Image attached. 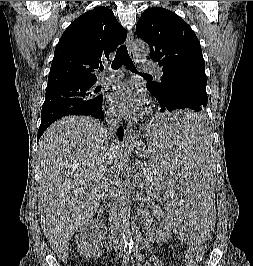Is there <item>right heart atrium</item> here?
I'll use <instances>...</instances> for the list:
<instances>
[{"mask_svg":"<svg viewBox=\"0 0 253 266\" xmlns=\"http://www.w3.org/2000/svg\"><path fill=\"white\" fill-rule=\"evenodd\" d=\"M108 115L112 116V117H116L117 116L116 112L112 108L108 109Z\"/></svg>","mask_w":253,"mask_h":266,"instance_id":"1","label":"right heart atrium"}]
</instances>
